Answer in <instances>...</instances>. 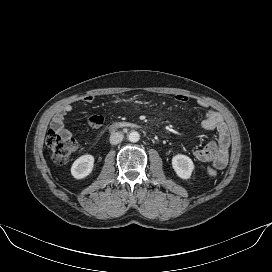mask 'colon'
Returning <instances> with one entry per match:
<instances>
[{"label": "colon", "instance_id": "5ec220e1", "mask_svg": "<svg viewBox=\"0 0 272 272\" xmlns=\"http://www.w3.org/2000/svg\"><path fill=\"white\" fill-rule=\"evenodd\" d=\"M46 143L52 152L54 163L58 165L66 164L77 148L73 138L65 137L54 129L48 132ZM207 173L209 176H216L217 170L210 167L207 169Z\"/></svg>", "mask_w": 272, "mask_h": 272}]
</instances>
